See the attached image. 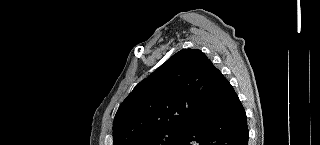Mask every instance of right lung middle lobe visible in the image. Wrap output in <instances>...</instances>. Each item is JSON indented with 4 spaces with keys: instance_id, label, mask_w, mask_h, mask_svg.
Returning a JSON list of instances; mask_svg holds the SVG:
<instances>
[{
    "instance_id": "1",
    "label": "right lung middle lobe",
    "mask_w": 320,
    "mask_h": 145,
    "mask_svg": "<svg viewBox=\"0 0 320 145\" xmlns=\"http://www.w3.org/2000/svg\"><path fill=\"white\" fill-rule=\"evenodd\" d=\"M185 128H168L150 133L130 145H173L183 134Z\"/></svg>"
}]
</instances>
